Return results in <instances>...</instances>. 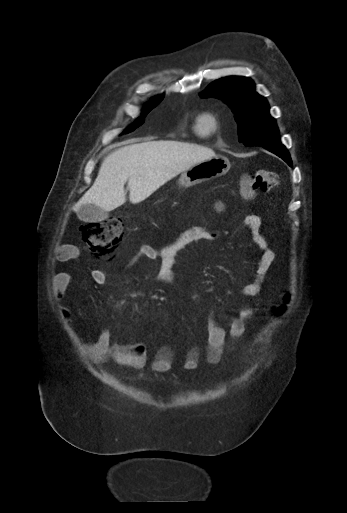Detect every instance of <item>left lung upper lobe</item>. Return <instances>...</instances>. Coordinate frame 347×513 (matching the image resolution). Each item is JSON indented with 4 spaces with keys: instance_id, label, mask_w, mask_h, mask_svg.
<instances>
[{
    "instance_id": "obj_1",
    "label": "left lung upper lobe",
    "mask_w": 347,
    "mask_h": 513,
    "mask_svg": "<svg viewBox=\"0 0 347 513\" xmlns=\"http://www.w3.org/2000/svg\"><path fill=\"white\" fill-rule=\"evenodd\" d=\"M200 96L217 97L228 104L238 123L239 141L245 146L280 143L278 127L269 114L268 102L255 92L250 78L230 76L216 80Z\"/></svg>"
}]
</instances>
